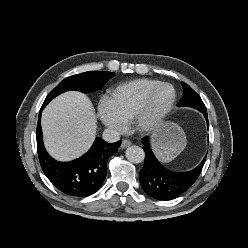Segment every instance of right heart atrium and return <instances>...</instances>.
Masks as SVG:
<instances>
[{
    "label": "right heart atrium",
    "instance_id": "obj_1",
    "mask_svg": "<svg viewBox=\"0 0 248 248\" xmlns=\"http://www.w3.org/2000/svg\"><path fill=\"white\" fill-rule=\"evenodd\" d=\"M98 116L103 125L112 131L122 132L126 127L127 123L118 114L109 96L100 98Z\"/></svg>",
    "mask_w": 248,
    "mask_h": 248
}]
</instances>
